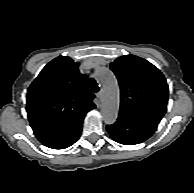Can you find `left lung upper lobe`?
<instances>
[{
	"mask_svg": "<svg viewBox=\"0 0 194 193\" xmlns=\"http://www.w3.org/2000/svg\"><path fill=\"white\" fill-rule=\"evenodd\" d=\"M110 69L120 85L119 114L158 126L168 102V85L160 70L134 55L117 58Z\"/></svg>",
	"mask_w": 194,
	"mask_h": 193,
	"instance_id": "1",
	"label": "left lung upper lobe"
}]
</instances>
